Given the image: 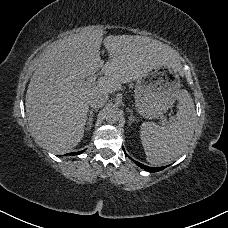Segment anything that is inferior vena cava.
<instances>
[{
    "instance_id": "obj_1",
    "label": "inferior vena cava",
    "mask_w": 228,
    "mask_h": 228,
    "mask_svg": "<svg viewBox=\"0 0 228 228\" xmlns=\"http://www.w3.org/2000/svg\"><path fill=\"white\" fill-rule=\"evenodd\" d=\"M108 100L107 93L91 92L88 97V104L93 108H102Z\"/></svg>"
}]
</instances>
